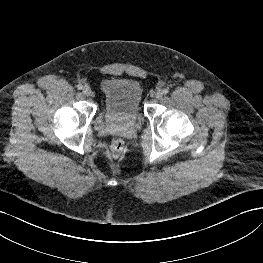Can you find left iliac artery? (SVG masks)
Returning <instances> with one entry per match:
<instances>
[{"instance_id": "44dca946", "label": "left iliac artery", "mask_w": 263, "mask_h": 263, "mask_svg": "<svg viewBox=\"0 0 263 263\" xmlns=\"http://www.w3.org/2000/svg\"><path fill=\"white\" fill-rule=\"evenodd\" d=\"M169 92V89L168 88H165L164 90H163V93L164 94H167Z\"/></svg>"}]
</instances>
